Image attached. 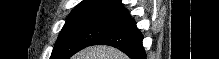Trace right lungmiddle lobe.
Wrapping results in <instances>:
<instances>
[{
    "instance_id": "1",
    "label": "right lung middle lobe",
    "mask_w": 219,
    "mask_h": 59,
    "mask_svg": "<svg viewBox=\"0 0 219 59\" xmlns=\"http://www.w3.org/2000/svg\"><path fill=\"white\" fill-rule=\"evenodd\" d=\"M114 10L69 15L50 59H69L127 20Z\"/></svg>"
}]
</instances>
